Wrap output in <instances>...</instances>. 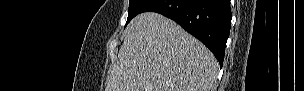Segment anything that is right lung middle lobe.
Segmentation results:
<instances>
[{
  "label": "right lung middle lobe",
  "instance_id": "obj_1",
  "mask_svg": "<svg viewBox=\"0 0 304 91\" xmlns=\"http://www.w3.org/2000/svg\"><path fill=\"white\" fill-rule=\"evenodd\" d=\"M151 0H129V10L127 23L134 18L136 15L141 13L142 9L150 2ZM126 23V25H127Z\"/></svg>",
  "mask_w": 304,
  "mask_h": 91
}]
</instances>
